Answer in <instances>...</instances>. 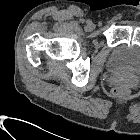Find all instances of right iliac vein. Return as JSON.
Returning a JSON list of instances; mask_svg holds the SVG:
<instances>
[{
    "mask_svg": "<svg viewBox=\"0 0 140 140\" xmlns=\"http://www.w3.org/2000/svg\"><path fill=\"white\" fill-rule=\"evenodd\" d=\"M95 28L94 24L93 23H89L87 26H86V29L88 30H93Z\"/></svg>",
    "mask_w": 140,
    "mask_h": 140,
    "instance_id": "right-iliac-vein-1",
    "label": "right iliac vein"
}]
</instances>
